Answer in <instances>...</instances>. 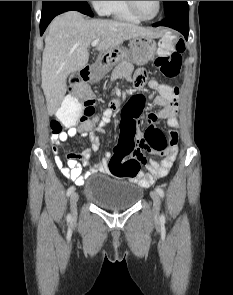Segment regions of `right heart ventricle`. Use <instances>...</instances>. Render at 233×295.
<instances>
[{"mask_svg":"<svg viewBox=\"0 0 233 295\" xmlns=\"http://www.w3.org/2000/svg\"><path fill=\"white\" fill-rule=\"evenodd\" d=\"M108 14L119 20L130 22L139 21V19L130 12L126 1H110Z\"/></svg>","mask_w":233,"mask_h":295,"instance_id":"e07e8e85","label":"right heart ventricle"}]
</instances>
